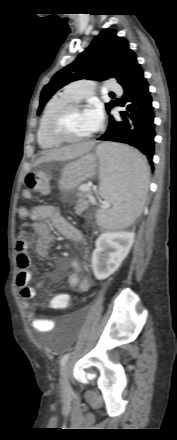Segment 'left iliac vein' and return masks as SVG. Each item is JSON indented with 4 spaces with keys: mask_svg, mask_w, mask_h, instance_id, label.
<instances>
[{
    "mask_svg": "<svg viewBox=\"0 0 177 440\" xmlns=\"http://www.w3.org/2000/svg\"><path fill=\"white\" fill-rule=\"evenodd\" d=\"M68 370H69V365H65L64 367V373H63V388L65 390L69 389V374H68Z\"/></svg>",
    "mask_w": 177,
    "mask_h": 440,
    "instance_id": "1",
    "label": "left iliac vein"
}]
</instances>
